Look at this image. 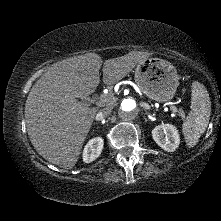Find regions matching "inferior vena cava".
<instances>
[{
	"mask_svg": "<svg viewBox=\"0 0 221 221\" xmlns=\"http://www.w3.org/2000/svg\"><path fill=\"white\" fill-rule=\"evenodd\" d=\"M111 112H112L111 106L101 109L100 112H98L96 115V120L97 121L102 120L105 116H108L109 114H111Z\"/></svg>",
	"mask_w": 221,
	"mask_h": 221,
	"instance_id": "1",
	"label": "inferior vena cava"
}]
</instances>
